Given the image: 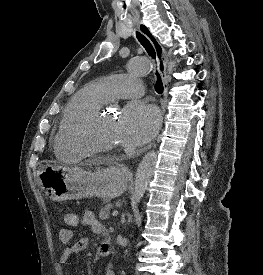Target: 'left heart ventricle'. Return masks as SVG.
<instances>
[{"label":"left heart ventricle","mask_w":263,"mask_h":275,"mask_svg":"<svg viewBox=\"0 0 263 275\" xmlns=\"http://www.w3.org/2000/svg\"><path fill=\"white\" fill-rule=\"evenodd\" d=\"M118 117L113 112L107 111L98 122L95 138L107 144H122L118 133Z\"/></svg>","instance_id":"1"}]
</instances>
